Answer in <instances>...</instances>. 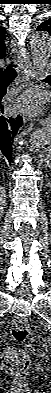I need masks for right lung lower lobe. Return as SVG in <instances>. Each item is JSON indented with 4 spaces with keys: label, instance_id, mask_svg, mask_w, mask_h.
<instances>
[{
    "label": "right lung lower lobe",
    "instance_id": "right-lung-lower-lobe-1",
    "mask_svg": "<svg viewBox=\"0 0 51 393\" xmlns=\"http://www.w3.org/2000/svg\"><path fill=\"white\" fill-rule=\"evenodd\" d=\"M2 95H0L1 102ZM23 121L20 116L7 117L3 112V105L0 103V155H4L9 163L12 160V143L18 131V127Z\"/></svg>",
    "mask_w": 51,
    "mask_h": 393
}]
</instances>
